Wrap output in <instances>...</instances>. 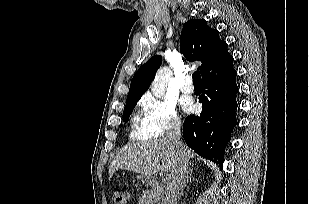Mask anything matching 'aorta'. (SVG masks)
Returning <instances> with one entry per match:
<instances>
[{
	"label": "aorta",
	"mask_w": 309,
	"mask_h": 204,
	"mask_svg": "<svg viewBox=\"0 0 309 204\" xmlns=\"http://www.w3.org/2000/svg\"><path fill=\"white\" fill-rule=\"evenodd\" d=\"M170 73L168 67H162L157 71L151 85V91L155 97L161 98L165 94Z\"/></svg>",
	"instance_id": "1"
}]
</instances>
